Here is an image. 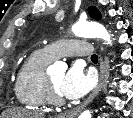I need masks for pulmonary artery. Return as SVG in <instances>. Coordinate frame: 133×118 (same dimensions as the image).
<instances>
[{
	"mask_svg": "<svg viewBox=\"0 0 133 118\" xmlns=\"http://www.w3.org/2000/svg\"><path fill=\"white\" fill-rule=\"evenodd\" d=\"M43 51L52 59L71 56L90 57L92 56L93 48L84 40L67 39L46 45Z\"/></svg>",
	"mask_w": 133,
	"mask_h": 118,
	"instance_id": "obj_1",
	"label": "pulmonary artery"
}]
</instances>
